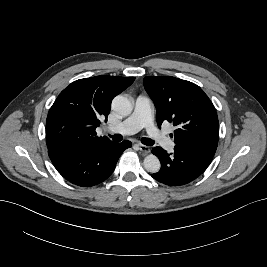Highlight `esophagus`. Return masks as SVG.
<instances>
[{"mask_svg": "<svg viewBox=\"0 0 267 267\" xmlns=\"http://www.w3.org/2000/svg\"><path fill=\"white\" fill-rule=\"evenodd\" d=\"M137 146H138V149H139L140 151H142L143 153H145V154H147V153L150 152V148H149L148 146H146V145H143V144H137Z\"/></svg>", "mask_w": 267, "mask_h": 267, "instance_id": "34e87169", "label": "esophagus"}]
</instances>
